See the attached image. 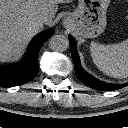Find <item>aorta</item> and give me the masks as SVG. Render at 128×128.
<instances>
[{"label": "aorta", "mask_w": 128, "mask_h": 128, "mask_svg": "<svg viewBox=\"0 0 128 128\" xmlns=\"http://www.w3.org/2000/svg\"><path fill=\"white\" fill-rule=\"evenodd\" d=\"M69 46V40L64 35H53L49 40V48L55 52H63Z\"/></svg>", "instance_id": "1"}]
</instances>
